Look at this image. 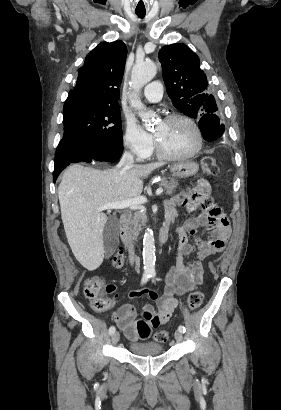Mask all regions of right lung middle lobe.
Here are the masks:
<instances>
[{"instance_id":"obj_1","label":"right lung middle lobe","mask_w":281,"mask_h":410,"mask_svg":"<svg viewBox=\"0 0 281 410\" xmlns=\"http://www.w3.org/2000/svg\"><path fill=\"white\" fill-rule=\"evenodd\" d=\"M64 135L55 156L89 146H122L118 107L71 104L63 110Z\"/></svg>"}]
</instances>
